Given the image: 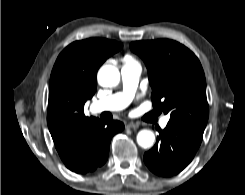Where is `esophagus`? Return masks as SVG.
Returning <instances> with one entry per match:
<instances>
[{"instance_id":"esophagus-1","label":"esophagus","mask_w":245,"mask_h":195,"mask_svg":"<svg viewBox=\"0 0 245 195\" xmlns=\"http://www.w3.org/2000/svg\"><path fill=\"white\" fill-rule=\"evenodd\" d=\"M139 123L138 122H129L126 124V128L129 129H137L139 127Z\"/></svg>"}]
</instances>
